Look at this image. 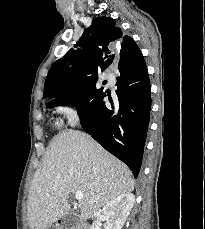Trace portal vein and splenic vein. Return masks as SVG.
<instances>
[{"mask_svg":"<svg viewBox=\"0 0 205 229\" xmlns=\"http://www.w3.org/2000/svg\"><path fill=\"white\" fill-rule=\"evenodd\" d=\"M75 198L77 200H81L83 198V193L81 191H76L75 192Z\"/></svg>","mask_w":205,"mask_h":229,"instance_id":"18ae733b","label":"portal vein and splenic vein"}]
</instances>
